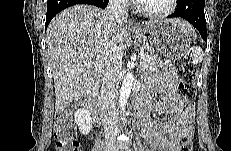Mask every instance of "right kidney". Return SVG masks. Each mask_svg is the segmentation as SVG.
<instances>
[{
	"label": "right kidney",
	"instance_id": "right-kidney-1",
	"mask_svg": "<svg viewBox=\"0 0 231 151\" xmlns=\"http://www.w3.org/2000/svg\"><path fill=\"white\" fill-rule=\"evenodd\" d=\"M75 122L81 134L87 135L92 129V117L88 108L78 109L74 114Z\"/></svg>",
	"mask_w": 231,
	"mask_h": 151
}]
</instances>
